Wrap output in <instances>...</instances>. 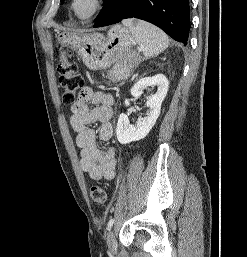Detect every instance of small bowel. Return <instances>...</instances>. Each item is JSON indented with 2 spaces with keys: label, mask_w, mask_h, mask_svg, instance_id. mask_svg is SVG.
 I'll list each match as a JSON object with an SVG mask.
<instances>
[{
  "label": "small bowel",
  "mask_w": 247,
  "mask_h": 257,
  "mask_svg": "<svg viewBox=\"0 0 247 257\" xmlns=\"http://www.w3.org/2000/svg\"><path fill=\"white\" fill-rule=\"evenodd\" d=\"M113 102L110 94L84 87L71 105L69 121L76 132V145L80 148V166L94 181H110L115 177V147L100 148L97 145L98 140L106 142L113 136ZM90 104L95 107L90 108ZM94 123H99L97 131L91 127Z\"/></svg>",
  "instance_id": "1"
}]
</instances>
